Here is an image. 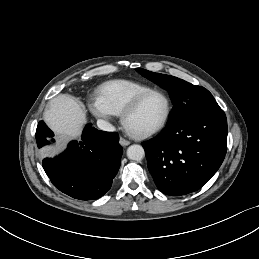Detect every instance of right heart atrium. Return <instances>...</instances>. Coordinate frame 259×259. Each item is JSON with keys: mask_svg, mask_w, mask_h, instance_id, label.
<instances>
[{"mask_svg": "<svg viewBox=\"0 0 259 259\" xmlns=\"http://www.w3.org/2000/svg\"><path fill=\"white\" fill-rule=\"evenodd\" d=\"M88 106L95 117L104 121H111L113 114L104 106L99 97L91 98Z\"/></svg>", "mask_w": 259, "mask_h": 259, "instance_id": "d8ad5b80", "label": "right heart atrium"}]
</instances>
